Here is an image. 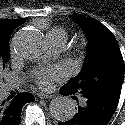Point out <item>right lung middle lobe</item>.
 Segmentation results:
<instances>
[{
  "label": "right lung middle lobe",
  "instance_id": "1",
  "mask_svg": "<svg viewBox=\"0 0 125 125\" xmlns=\"http://www.w3.org/2000/svg\"><path fill=\"white\" fill-rule=\"evenodd\" d=\"M9 40L10 34H0V63L6 62L10 56Z\"/></svg>",
  "mask_w": 125,
  "mask_h": 125
}]
</instances>
